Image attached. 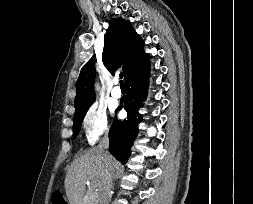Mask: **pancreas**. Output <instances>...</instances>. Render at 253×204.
Returning <instances> with one entry per match:
<instances>
[{
  "label": "pancreas",
  "mask_w": 253,
  "mask_h": 204,
  "mask_svg": "<svg viewBox=\"0 0 253 204\" xmlns=\"http://www.w3.org/2000/svg\"><path fill=\"white\" fill-rule=\"evenodd\" d=\"M97 192L95 191L94 186L88 187V190L86 192V199L83 204H97Z\"/></svg>",
  "instance_id": "obj_1"
}]
</instances>
